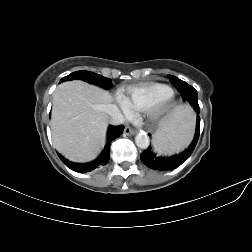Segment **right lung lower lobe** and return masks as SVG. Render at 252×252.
Wrapping results in <instances>:
<instances>
[{
	"mask_svg": "<svg viewBox=\"0 0 252 252\" xmlns=\"http://www.w3.org/2000/svg\"><path fill=\"white\" fill-rule=\"evenodd\" d=\"M124 130V126L119 125V126H112L110 125L108 128V133H107V143L100 154V156L95 159L92 162L89 163H74L71 161H68L65 159L62 155L58 153L59 158L61 161L69 167L71 170L84 173V172H90L92 170H95L98 167L104 166L108 163L109 158H110V145L113 140H115L117 137H119Z\"/></svg>",
	"mask_w": 252,
	"mask_h": 252,
	"instance_id": "obj_1",
	"label": "right lung lower lobe"
}]
</instances>
